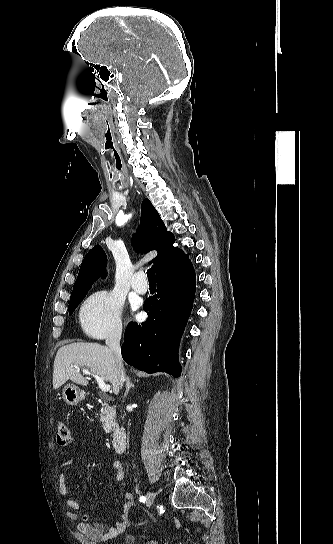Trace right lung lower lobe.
Wrapping results in <instances>:
<instances>
[{"instance_id": "obj_1", "label": "right lung lower lobe", "mask_w": 333, "mask_h": 544, "mask_svg": "<svg viewBox=\"0 0 333 544\" xmlns=\"http://www.w3.org/2000/svg\"><path fill=\"white\" fill-rule=\"evenodd\" d=\"M195 282L191 261L157 276V293L143 307L148 319L131 322L125 330L121 352L129 365L179 377L178 348L192 310Z\"/></svg>"}]
</instances>
